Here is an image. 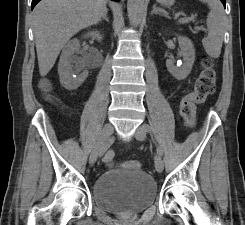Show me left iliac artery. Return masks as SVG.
<instances>
[{
    "label": "left iliac artery",
    "instance_id": "1",
    "mask_svg": "<svg viewBox=\"0 0 245 225\" xmlns=\"http://www.w3.org/2000/svg\"><path fill=\"white\" fill-rule=\"evenodd\" d=\"M143 127H144L146 132L150 133L152 131L151 127L148 124L143 125ZM157 153H158L159 156L162 155V150H161L160 147H157Z\"/></svg>",
    "mask_w": 245,
    "mask_h": 225
}]
</instances>
